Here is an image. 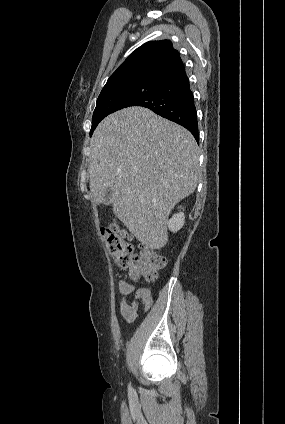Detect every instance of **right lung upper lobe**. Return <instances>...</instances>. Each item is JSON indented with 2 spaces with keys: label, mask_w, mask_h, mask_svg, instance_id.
<instances>
[{
  "label": "right lung upper lobe",
  "mask_w": 285,
  "mask_h": 424,
  "mask_svg": "<svg viewBox=\"0 0 285 424\" xmlns=\"http://www.w3.org/2000/svg\"><path fill=\"white\" fill-rule=\"evenodd\" d=\"M184 73L183 62L171 41H150L119 66L102 90L141 81L166 83Z\"/></svg>",
  "instance_id": "cb5924a9"
}]
</instances>
